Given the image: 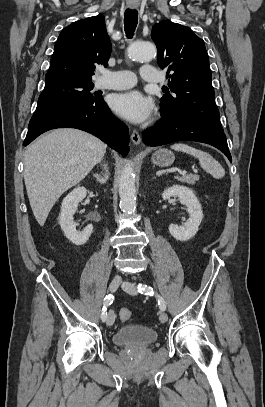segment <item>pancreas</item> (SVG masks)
I'll use <instances>...</instances> for the list:
<instances>
[{"label": "pancreas", "mask_w": 265, "mask_h": 407, "mask_svg": "<svg viewBox=\"0 0 265 407\" xmlns=\"http://www.w3.org/2000/svg\"><path fill=\"white\" fill-rule=\"evenodd\" d=\"M177 180H179L180 182H183V183L194 185L196 183V181L199 180V176L196 174H188L185 176L177 177Z\"/></svg>", "instance_id": "obj_1"}]
</instances>
